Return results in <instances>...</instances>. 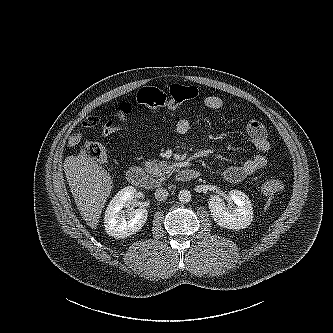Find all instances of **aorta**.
I'll list each match as a JSON object with an SVG mask.
<instances>
[{
  "label": "aorta",
  "mask_w": 333,
  "mask_h": 333,
  "mask_svg": "<svg viewBox=\"0 0 333 333\" xmlns=\"http://www.w3.org/2000/svg\"><path fill=\"white\" fill-rule=\"evenodd\" d=\"M178 199L181 203H188L191 201V193L188 190H181L178 194Z\"/></svg>",
  "instance_id": "1"
}]
</instances>
